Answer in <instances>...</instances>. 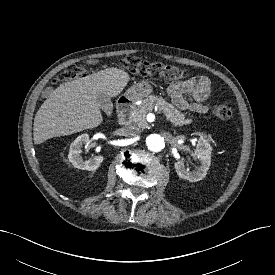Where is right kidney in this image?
I'll return each instance as SVG.
<instances>
[{
    "mask_svg": "<svg viewBox=\"0 0 275 275\" xmlns=\"http://www.w3.org/2000/svg\"><path fill=\"white\" fill-rule=\"evenodd\" d=\"M89 142V135L87 133L78 136L70 146L68 160L69 162L78 169L94 171L98 169L100 164L103 162L104 157L102 155L83 160L80 156L82 147Z\"/></svg>",
    "mask_w": 275,
    "mask_h": 275,
    "instance_id": "1",
    "label": "right kidney"
}]
</instances>
